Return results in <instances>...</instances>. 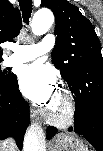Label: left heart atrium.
<instances>
[{
    "label": "left heart atrium",
    "instance_id": "39dd6f15",
    "mask_svg": "<svg viewBox=\"0 0 103 151\" xmlns=\"http://www.w3.org/2000/svg\"><path fill=\"white\" fill-rule=\"evenodd\" d=\"M19 86L28 99L41 105H50L58 93L52 69L41 61L20 70Z\"/></svg>",
    "mask_w": 103,
    "mask_h": 151
}]
</instances>
